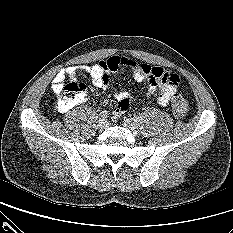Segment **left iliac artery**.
I'll use <instances>...</instances> for the list:
<instances>
[{
	"instance_id": "obj_1",
	"label": "left iliac artery",
	"mask_w": 233,
	"mask_h": 233,
	"mask_svg": "<svg viewBox=\"0 0 233 233\" xmlns=\"http://www.w3.org/2000/svg\"><path fill=\"white\" fill-rule=\"evenodd\" d=\"M133 120L135 121V122H140V117H138V116H134V118H133Z\"/></svg>"
}]
</instances>
